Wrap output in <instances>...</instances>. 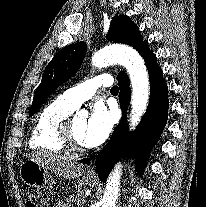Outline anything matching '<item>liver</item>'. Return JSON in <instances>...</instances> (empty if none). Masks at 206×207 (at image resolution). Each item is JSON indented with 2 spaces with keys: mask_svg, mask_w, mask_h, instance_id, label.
<instances>
[{
  "mask_svg": "<svg viewBox=\"0 0 206 207\" xmlns=\"http://www.w3.org/2000/svg\"><path fill=\"white\" fill-rule=\"evenodd\" d=\"M28 156L42 167L66 179H76L83 174V166L65 156L49 152Z\"/></svg>",
  "mask_w": 206,
  "mask_h": 207,
  "instance_id": "liver-1",
  "label": "liver"
}]
</instances>
